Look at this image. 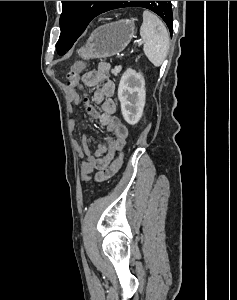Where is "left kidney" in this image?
Returning <instances> with one entry per match:
<instances>
[{"instance_id": "5707ae66", "label": "left kidney", "mask_w": 237, "mask_h": 300, "mask_svg": "<svg viewBox=\"0 0 237 300\" xmlns=\"http://www.w3.org/2000/svg\"><path fill=\"white\" fill-rule=\"evenodd\" d=\"M118 99L121 113L128 125H136L143 115L146 101L145 81L141 73L127 69L123 73L119 87Z\"/></svg>"}]
</instances>
